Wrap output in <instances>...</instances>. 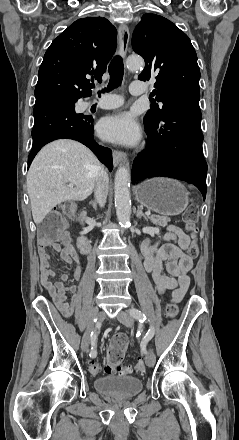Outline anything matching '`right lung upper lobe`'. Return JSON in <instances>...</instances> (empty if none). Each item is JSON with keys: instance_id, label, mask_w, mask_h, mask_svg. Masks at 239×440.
<instances>
[{"instance_id": "right-lung-upper-lobe-1", "label": "right lung upper lobe", "mask_w": 239, "mask_h": 440, "mask_svg": "<svg viewBox=\"0 0 239 440\" xmlns=\"http://www.w3.org/2000/svg\"><path fill=\"white\" fill-rule=\"evenodd\" d=\"M117 31L102 17L78 19L46 51L35 88L37 99L91 95L89 76L100 79L116 47Z\"/></svg>"}]
</instances>
